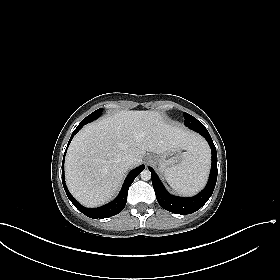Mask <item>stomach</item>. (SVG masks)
<instances>
[{
  "instance_id": "obj_1",
  "label": "stomach",
  "mask_w": 280,
  "mask_h": 280,
  "mask_svg": "<svg viewBox=\"0 0 280 280\" xmlns=\"http://www.w3.org/2000/svg\"><path fill=\"white\" fill-rule=\"evenodd\" d=\"M180 150L181 149L177 148L170 149L159 156H155L153 161L154 165L157 166L160 172H166L167 169L178 165L182 160H184L185 153H181Z\"/></svg>"
}]
</instances>
